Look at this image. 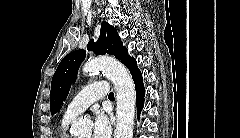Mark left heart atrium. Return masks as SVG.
Returning a JSON list of instances; mask_svg holds the SVG:
<instances>
[{"label": "left heart atrium", "mask_w": 240, "mask_h": 138, "mask_svg": "<svg viewBox=\"0 0 240 138\" xmlns=\"http://www.w3.org/2000/svg\"><path fill=\"white\" fill-rule=\"evenodd\" d=\"M110 134L111 125L109 119L102 111H97L92 130L93 138H108Z\"/></svg>", "instance_id": "1"}]
</instances>
